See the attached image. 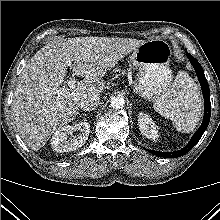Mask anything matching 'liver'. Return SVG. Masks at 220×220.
<instances>
[{"instance_id":"obj_1","label":"liver","mask_w":220,"mask_h":220,"mask_svg":"<svg viewBox=\"0 0 220 220\" xmlns=\"http://www.w3.org/2000/svg\"><path fill=\"white\" fill-rule=\"evenodd\" d=\"M145 41L130 38L76 37L56 40L41 48L23 69L12 101V115L20 137L40 150L57 128L75 119L82 99L105 89L103 76ZM71 67L78 81L57 98Z\"/></svg>"}]
</instances>
